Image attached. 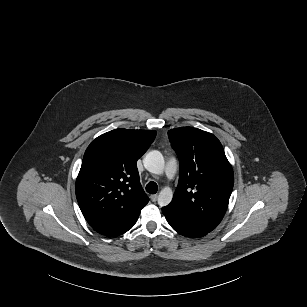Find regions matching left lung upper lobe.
Returning <instances> with one entry per match:
<instances>
[{"mask_svg":"<svg viewBox=\"0 0 307 307\" xmlns=\"http://www.w3.org/2000/svg\"><path fill=\"white\" fill-rule=\"evenodd\" d=\"M180 161V178L171 203L189 222L212 231L222 220L233 189V169L220 141L193 127L168 131Z\"/></svg>","mask_w":307,"mask_h":307,"instance_id":"5c2ea615","label":"left lung upper lobe"}]
</instances>
